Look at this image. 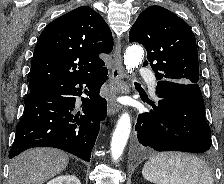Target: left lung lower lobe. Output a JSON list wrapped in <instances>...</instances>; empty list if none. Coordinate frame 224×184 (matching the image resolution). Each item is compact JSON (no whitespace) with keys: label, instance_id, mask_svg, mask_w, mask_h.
I'll return each mask as SVG.
<instances>
[{"label":"left lung lower lobe","instance_id":"1","mask_svg":"<svg viewBox=\"0 0 224 184\" xmlns=\"http://www.w3.org/2000/svg\"><path fill=\"white\" fill-rule=\"evenodd\" d=\"M157 106L141 113L135 126L138 142L157 151L204 153L211 147V132L198 84L159 80Z\"/></svg>","mask_w":224,"mask_h":184}]
</instances>
